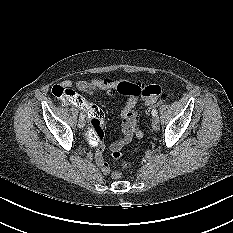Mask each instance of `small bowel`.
<instances>
[{
	"label": "small bowel",
	"instance_id": "small-bowel-1",
	"mask_svg": "<svg viewBox=\"0 0 233 233\" xmlns=\"http://www.w3.org/2000/svg\"><path fill=\"white\" fill-rule=\"evenodd\" d=\"M59 85L71 89L72 82L66 80ZM75 86L79 91L89 95H93L94 93H105L109 95L119 93L127 96L126 104L121 110L122 136L111 144L110 149L112 153L121 151L133 138H141L143 136V132L137 123L136 106L140 99H142L147 106L156 102V96H147L144 93V89L152 85H144L142 83L106 77L94 78L89 81L79 80L76 82ZM103 151L104 145L101 142L96 151L95 159L101 172L106 175L110 173V167L103 158Z\"/></svg>",
	"mask_w": 233,
	"mask_h": 233
}]
</instances>
